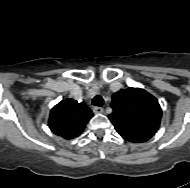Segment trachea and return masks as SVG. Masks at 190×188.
<instances>
[{
    "instance_id": "trachea-1",
    "label": "trachea",
    "mask_w": 190,
    "mask_h": 188,
    "mask_svg": "<svg viewBox=\"0 0 190 188\" xmlns=\"http://www.w3.org/2000/svg\"><path fill=\"white\" fill-rule=\"evenodd\" d=\"M103 98L100 95H96L93 100H92V104L94 106H98L101 107L103 105Z\"/></svg>"
}]
</instances>
